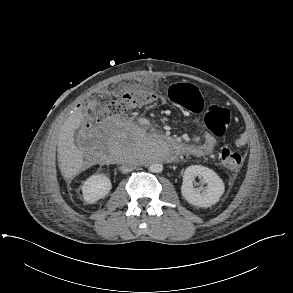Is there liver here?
Wrapping results in <instances>:
<instances>
[{"instance_id":"6515ba94","label":"liver","mask_w":293,"mask_h":293,"mask_svg":"<svg viewBox=\"0 0 293 293\" xmlns=\"http://www.w3.org/2000/svg\"><path fill=\"white\" fill-rule=\"evenodd\" d=\"M84 117L80 109L71 114L61 126L58 136V164L65 179H73L84 169L83 153L74 144V132Z\"/></svg>"}]
</instances>
